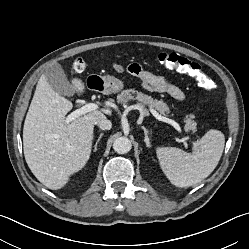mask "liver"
Segmentation results:
<instances>
[{
  "mask_svg": "<svg viewBox=\"0 0 249 249\" xmlns=\"http://www.w3.org/2000/svg\"><path fill=\"white\" fill-rule=\"evenodd\" d=\"M78 94L85 91L81 79L73 78ZM70 100L59 95L42 75L36 86L23 127L25 160L34 176L47 188H62L69 177L90 158L96 121L110 110L92 111L66 123Z\"/></svg>",
  "mask_w": 249,
  "mask_h": 249,
  "instance_id": "liver-1",
  "label": "liver"
}]
</instances>
